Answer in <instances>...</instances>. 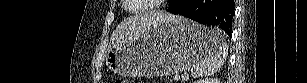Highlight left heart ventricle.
I'll return each instance as SVG.
<instances>
[{"label": "left heart ventricle", "instance_id": "1", "mask_svg": "<svg viewBox=\"0 0 307 83\" xmlns=\"http://www.w3.org/2000/svg\"><path fill=\"white\" fill-rule=\"evenodd\" d=\"M132 3H135V2H133L132 1ZM136 3H138V2H136ZM140 3H141V1H140ZM145 5H141V4H133V5H130V9L131 10H140L142 7H144Z\"/></svg>", "mask_w": 307, "mask_h": 83}]
</instances>
